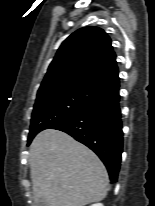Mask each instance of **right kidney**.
Listing matches in <instances>:
<instances>
[{"label": "right kidney", "mask_w": 155, "mask_h": 206, "mask_svg": "<svg viewBox=\"0 0 155 206\" xmlns=\"http://www.w3.org/2000/svg\"><path fill=\"white\" fill-rule=\"evenodd\" d=\"M91 206H103V204L98 203V204H93V205H91Z\"/></svg>", "instance_id": "1"}]
</instances>
